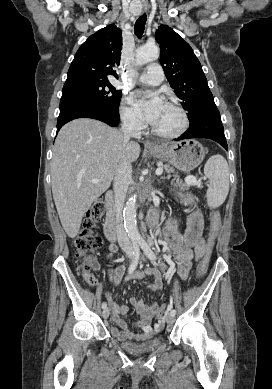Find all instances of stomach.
<instances>
[{"mask_svg": "<svg viewBox=\"0 0 272 389\" xmlns=\"http://www.w3.org/2000/svg\"><path fill=\"white\" fill-rule=\"evenodd\" d=\"M149 153L187 173L198 167L205 157L204 147L194 139L178 141L171 145L163 144L156 149H150Z\"/></svg>", "mask_w": 272, "mask_h": 389, "instance_id": "stomach-1", "label": "stomach"}]
</instances>
